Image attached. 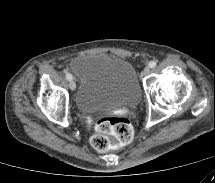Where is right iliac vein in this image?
<instances>
[{
    "mask_svg": "<svg viewBox=\"0 0 215 183\" xmlns=\"http://www.w3.org/2000/svg\"><path fill=\"white\" fill-rule=\"evenodd\" d=\"M69 87L72 91L76 89V83L74 82V80H70Z\"/></svg>",
    "mask_w": 215,
    "mask_h": 183,
    "instance_id": "1",
    "label": "right iliac vein"
}]
</instances>
